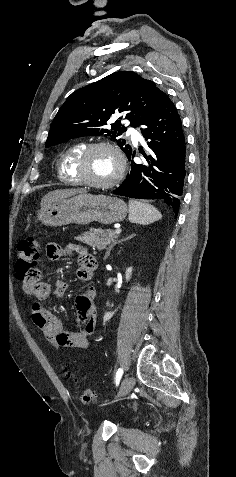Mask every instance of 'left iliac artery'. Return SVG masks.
<instances>
[{
    "label": "left iliac artery",
    "mask_w": 236,
    "mask_h": 477,
    "mask_svg": "<svg viewBox=\"0 0 236 477\" xmlns=\"http://www.w3.org/2000/svg\"><path fill=\"white\" fill-rule=\"evenodd\" d=\"M122 374H123V369L122 368H119L118 371L116 372V377H115V381H116V385L118 386L119 382H120V379L122 377Z\"/></svg>",
    "instance_id": "obj_1"
}]
</instances>
